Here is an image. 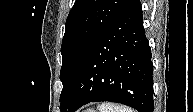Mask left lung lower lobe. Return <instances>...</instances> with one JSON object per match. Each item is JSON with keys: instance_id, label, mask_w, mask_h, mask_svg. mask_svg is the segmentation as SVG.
I'll return each mask as SVG.
<instances>
[{"instance_id": "0a47b994", "label": "left lung lower lobe", "mask_w": 193, "mask_h": 112, "mask_svg": "<svg viewBox=\"0 0 193 112\" xmlns=\"http://www.w3.org/2000/svg\"><path fill=\"white\" fill-rule=\"evenodd\" d=\"M152 54L143 27L140 0H132L85 56L61 112L110 101L153 112Z\"/></svg>"}]
</instances>
